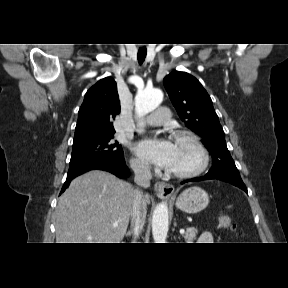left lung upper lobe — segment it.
Returning <instances> with one entry per match:
<instances>
[{
  "label": "left lung upper lobe",
  "mask_w": 288,
  "mask_h": 288,
  "mask_svg": "<svg viewBox=\"0 0 288 288\" xmlns=\"http://www.w3.org/2000/svg\"><path fill=\"white\" fill-rule=\"evenodd\" d=\"M163 83L179 117L203 138L202 143L212 155L213 164L207 175L241 179L212 100L202 84L194 76L180 71L167 75Z\"/></svg>",
  "instance_id": "obj_1"
}]
</instances>
